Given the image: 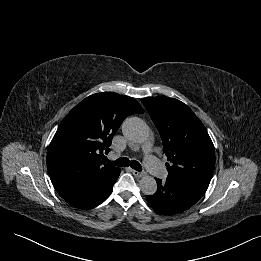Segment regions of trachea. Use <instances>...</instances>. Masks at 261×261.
<instances>
[{"mask_svg":"<svg viewBox=\"0 0 261 261\" xmlns=\"http://www.w3.org/2000/svg\"><path fill=\"white\" fill-rule=\"evenodd\" d=\"M111 164L115 165V166H119V167H126V166H131V168H133L136 171H142V166L140 165V163L136 160H129L128 158H119L116 161H108Z\"/></svg>","mask_w":261,"mask_h":261,"instance_id":"3493384b","label":"trachea"}]
</instances>
